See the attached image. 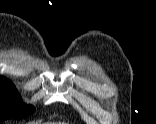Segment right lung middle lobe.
Returning a JSON list of instances; mask_svg holds the SVG:
<instances>
[{"label": "right lung middle lobe", "instance_id": "obj_1", "mask_svg": "<svg viewBox=\"0 0 156 124\" xmlns=\"http://www.w3.org/2000/svg\"><path fill=\"white\" fill-rule=\"evenodd\" d=\"M34 111L33 106L25 105L15 92L14 85L7 79H0V123L7 119H22Z\"/></svg>", "mask_w": 156, "mask_h": 124}]
</instances>
